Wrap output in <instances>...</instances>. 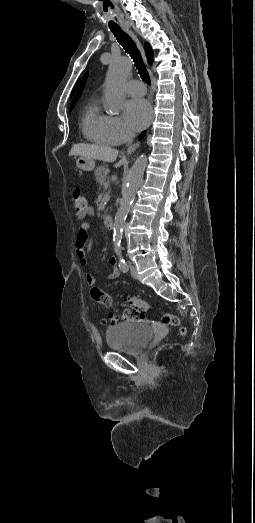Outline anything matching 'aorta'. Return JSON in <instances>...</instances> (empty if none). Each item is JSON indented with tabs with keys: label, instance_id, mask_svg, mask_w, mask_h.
I'll use <instances>...</instances> for the list:
<instances>
[{
	"label": "aorta",
	"instance_id": "762f6f07",
	"mask_svg": "<svg viewBox=\"0 0 255 523\" xmlns=\"http://www.w3.org/2000/svg\"><path fill=\"white\" fill-rule=\"evenodd\" d=\"M132 68L130 60L121 57L113 60L109 65L105 81V103L107 109L117 114L122 109L124 103L123 85ZM147 166V156L141 154L132 166L125 187L122 191L120 207L115 215L113 227L114 250L118 257L122 259V237L126 223V218L136 192L142 183L145 168Z\"/></svg>",
	"mask_w": 255,
	"mask_h": 523
}]
</instances>
